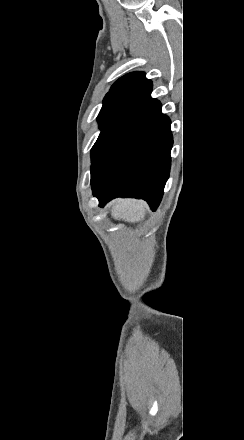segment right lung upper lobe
I'll list each match as a JSON object with an SVG mask.
<instances>
[{
  "mask_svg": "<svg viewBox=\"0 0 244 440\" xmlns=\"http://www.w3.org/2000/svg\"><path fill=\"white\" fill-rule=\"evenodd\" d=\"M152 82L145 78L143 72H132L117 80L104 100L118 98L143 99L151 94Z\"/></svg>",
  "mask_w": 244,
  "mask_h": 440,
  "instance_id": "right-lung-upper-lobe-1",
  "label": "right lung upper lobe"
}]
</instances>
